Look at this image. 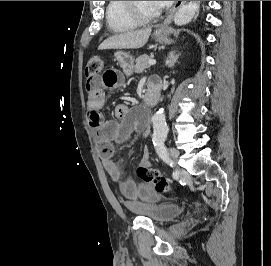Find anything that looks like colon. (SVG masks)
Listing matches in <instances>:
<instances>
[{"mask_svg": "<svg viewBox=\"0 0 271 266\" xmlns=\"http://www.w3.org/2000/svg\"><path fill=\"white\" fill-rule=\"evenodd\" d=\"M104 65L105 63L101 56H92L86 66V75L94 76L99 74L104 69ZM137 175L146 184L152 185L157 193H163L170 190L167 179L150 166L140 165L137 168Z\"/></svg>", "mask_w": 271, "mask_h": 266, "instance_id": "1", "label": "colon"}]
</instances>
